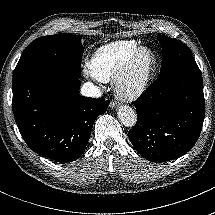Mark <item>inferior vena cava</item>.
<instances>
[{
    "label": "inferior vena cava",
    "mask_w": 215,
    "mask_h": 215,
    "mask_svg": "<svg viewBox=\"0 0 215 215\" xmlns=\"http://www.w3.org/2000/svg\"><path fill=\"white\" fill-rule=\"evenodd\" d=\"M81 95L85 97L99 98L102 96V91L93 82H85L80 89Z\"/></svg>",
    "instance_id": "inferior-vena-cava-1"
}]
</instances>
